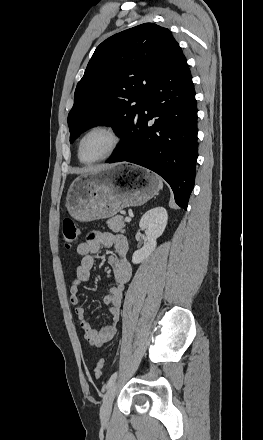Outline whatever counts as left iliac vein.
Segmentation results:
<instances>
[{
  "mask_svg": "<svg viewBox=\"0 0 263 440\" xmlns=\"http://www.w3.org/2000/svg\"><path fill=\"white\" fill-rule=\"evenodd\" d=\"M118 383L114 382L108 389L106 395L103 399V404L100 409V417L103 422H106L109 420L111 416L112 411V403L114 400V397L116 395Z\"/></svg>",
  "mask_w": 263,
  "mask_h": 440,
  "instance_id": "left-iliac-vein-1",
  "label": "left iliac vein"
}]
</instances>
